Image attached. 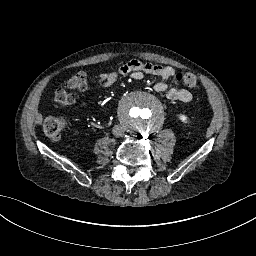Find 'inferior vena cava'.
I'll list each match as a JSON object with an SVG mask.
<instances>
[{
  "label": "inferior vena cava",
  "instance_id": "inferior-vena-cava-1",
  "mask_svg": "<svg viewBox=\"0 0 256 256\" xmlns=\"http://www.w3.org/2000/svg\"><path fill=\"white\" fill-rule=\"evenodd\" d=\"M113 135L116 136V137H122L124 136V133H125V129L121 126V125H115L113 127Z\"/></svg>",
  "mask_w": 256,
  "mask_h": 256
}]
</instances>
